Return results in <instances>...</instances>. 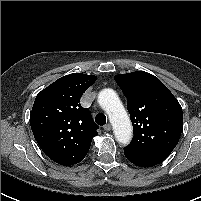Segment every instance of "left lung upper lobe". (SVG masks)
<instances>
[{"label":"left lung upper lobe","instance_id":"5c2ea615","mask_svg":"<svg viewBox=\"0 0 201 201\" xmlns=\"http://www.w3.org/2000/svg\"><path fill=\"white\" fill-rule=\"evenodd\" d=\"M115 81L127 98L134 132L124 155L142 167L161 163L180 139L183 112L179 102L157 77L143 71L116 75Z\"/></svg>","mask_w":201,"mask_h":201}]
</instances>
